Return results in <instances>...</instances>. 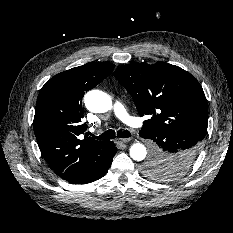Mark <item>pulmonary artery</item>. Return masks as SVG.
I'll list each match as a JSON object with an SVG mask.
<instances>
[{"label":"pulmonary artery","mask_w":233,"mask_h":233,"mask_svg":"<svg viewBox=\"0 0 233 233\" xmlns=\"http://www.w3.org/2000/svg\"><path fill=\"white\" fill-rule=\"evenodd\" d=\"M113 112L117 118L131 127L141 128L143 125L139 118L129 115L123 104L119 101L114 103Z\"/></svg>","instance_id":"1"}]
</instances>
